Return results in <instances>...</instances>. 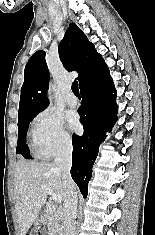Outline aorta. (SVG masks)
Returning a JSON list of instances; mask_svg holds the SVG:
<instances>
[{"label": "aorta", "instance_id": "aorta-1", "mask_svg": "<svg viewBox=\"0 0 155 235\" xmlns=\"http://www.w3.org/2000/svg\"><path fill=\"white\" fill-rule=\"evenodd\" d=\"M49 92H50V90H49ZM49 98L51 99V95H50V93H49Z\"/></svg>", "mask_w": 155, "mask_h": 235}]
</instances>
